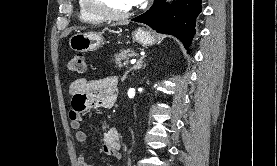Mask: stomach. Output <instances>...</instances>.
Listing matches in <instances>:
<instances>
[{
  "mask_svg": "<svg viewBox=\"0 0 277 166\" xmlns=\"http://www.w3.org/2000/svg\"><path fill=\"white\" fill-rule=\"evenodd\" d=\"M133 39L143 46H151L156 43L155 36L143 28H138L133 32ZM103 40L100 32L76 33L69 39V46L77 52H89L100 47Z\"/></svg>",
  "mask_w": 277,
  "mask_h": 166,
  "instance_id": "0dacf381",
  "label": "stomach"
}]
</instances>
